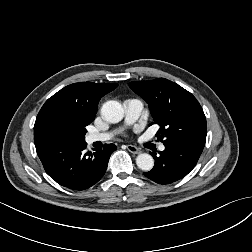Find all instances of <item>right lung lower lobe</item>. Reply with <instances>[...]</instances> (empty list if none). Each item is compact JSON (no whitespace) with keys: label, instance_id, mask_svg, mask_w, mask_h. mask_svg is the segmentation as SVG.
Wrapping results in <instances>:
<instances>
[{"label":"right lung lower lobe","instance_id":"98d812e1","mask_svg":"<svg viewBox=\"0 0 252 252\" xmlns=\"http://www.w3.org/2000/svg\"><path fill=\"white\" fill-rule=\"evenodd\" d=\"M114 144L86 152V142L61 143L36 147L46 173L58 184L72 190H84L96 184L105 174Z\"/></svg>","mask_w":252,"mask_h":252}]
</instances>
